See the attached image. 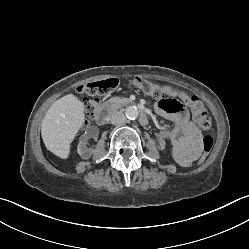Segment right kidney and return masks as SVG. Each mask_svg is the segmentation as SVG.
Instances as JSON below:
<instances>
[{
    "label": "right kidney",
    "mask_w": 249,
    "mask_h": 249,
    "mask_svg": "<svg viewBox=\"0 0 249 249\" xmlns=\"http://www.w3.org/2000/svg\"><path fill=\"white\" fill-rule=\"evenodd\" d=\"M97 133L98 128L96 126H91L81 137L77 147V152L83 159H89L91 157L93 150L88 148L86 144H91L94 141V136H96Z\"/></svg>",
    "instance_id": "obj_1"
}]
</instances>
